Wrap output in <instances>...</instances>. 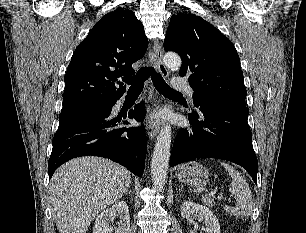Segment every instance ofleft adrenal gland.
<instances>
[{"mask_svg": "<svg viewBox=\"0 0 306 233\" xmlns=\"http://www.w3.org/2000/svg\"><path fill=\"white\" fill-rule=\"evenodd\" d=\"M181 191H183V188H182V187L179 189V192H181Z\"/></svg>", "mask_w": 306, "mask_h": 233, "instance_id": "left-adrenal-gland-1", "label": "left adrenal gland"}]
</instances>
